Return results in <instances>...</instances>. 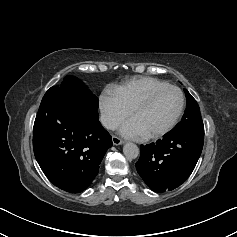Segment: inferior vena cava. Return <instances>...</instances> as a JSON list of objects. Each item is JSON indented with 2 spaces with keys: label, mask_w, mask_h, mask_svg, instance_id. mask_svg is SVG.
<instances>
[{
  "label": "inferior vena cava",
  "mask_w": 237,
  "mask_h": 237,
  "mask_svg": "<svg viewBox=\"0 0 237 237\" xmlns=\"http://www.w3.org/2000/svg\"><path fill=\"white\" fill-rule=\"evenodd\" d=\"M100 122L105 128L110 129V130L117 129L119 125L118 121L115 118L105 115V114H102L100 116Z\"/></svg>",
  "instance_id": "obj_1"
}]
</instances>
